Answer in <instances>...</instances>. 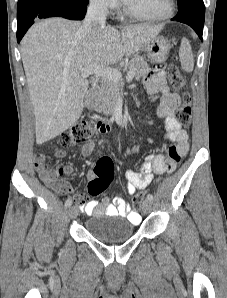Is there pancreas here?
<instances>
[{
    "label": "pancreas",
    "instance_id": "obj_1",
    "mask_svg": "<svg viewBox=\"0 0 227 298\" xmlns=\"http://www.w3.org/2000/svg\"><path fill=\"white\" fill-rule=\"evenodd\" d=\"M149 70L146 61L140 56L134 57L128 64L125 65L124 71L134 73L136 80H139ZM120 86L114 81L103 79L101 86L97 89V106L95 111L105 115L112 114L120 96Z\"/></svg>",
    "mask_w": 227,
    "mask_h": 298
}]
</instances>
